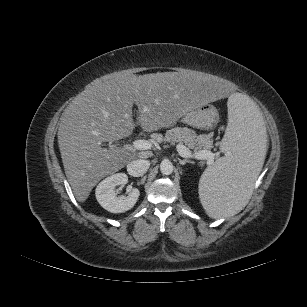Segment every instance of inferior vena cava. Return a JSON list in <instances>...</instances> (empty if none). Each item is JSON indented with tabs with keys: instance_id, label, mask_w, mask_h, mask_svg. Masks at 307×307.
I'll return each instance as SVG.
<instances>
[{
	"instance_id": "602c4592",
	"label": "inferior vena cava",
	"mask_w": 307,
	"mask_h": 307,
	"mask_svg": "<svg viewBox=\"0 0 307 307\" xmlns=\"http://www.w3.org/2000/svg\"><path fill=\"white\" fill-rule=\"evenodd\" d=\"M150 166V162L144 159L133 160L127 165V172L134 177L142 176Z\"/></svg>"
}]
</instances>
